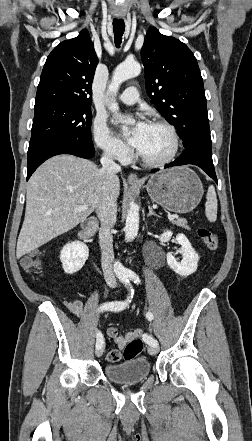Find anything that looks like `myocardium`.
I'll return each mask as SVG.
<instances>
[{
	"mask_svg": "<svg viewBox=\"0 0 252 441\" xmlns=\"http://www.w3.org/2000/svg\"><path fill=\"white\" fill-rule=\"evenodd\" d=\"M149 125H153V126H159L162 127L164 129H166L171 137L172 140V149L170 151V153L163 159L160 160H150L146 157H144L143 155H141L140 152L137 153L139 160L141 161V163L146 166V167H150V168H161L166 166L167 164L171 163L178 151H179V136L178 133L175 129V127L170 124L169 122L165 121V120H161V119H154L150 122Z\"/></svg>",
	"mask_w": 252,
	"mask_h": 441,
	"instance_id": "myocardium-1",
	"label": "myocardium"
}]
</instances>
